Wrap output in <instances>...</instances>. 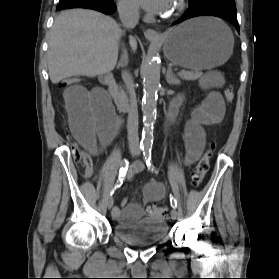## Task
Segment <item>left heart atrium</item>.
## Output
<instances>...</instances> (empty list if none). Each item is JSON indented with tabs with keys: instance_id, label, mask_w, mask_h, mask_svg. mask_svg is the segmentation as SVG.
<instances>
[{
	"instance_id": "left-heart-atrium-1",
	"label": "left heart atrium",
	"mask_w": 279,
	"mask_h": 279,
	"mask_svg": "<svg viewBox=\"0 0 279 279\" xmlns=\"http://www.w3.org/2000/svg\"><path fill=\"white\" fill-rule=\"evenodd\" d=\"M173 0H136L137 4L151 14H166Z\"/></svg>"
}]
</instances>
